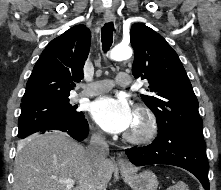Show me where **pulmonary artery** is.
Wrapping results in <instances>:
<instances>
[{
    "mask_svg": "<svg viewBox=\"0 0 221 190\" xmlns=\"http://www.w3.org/2000/svg\"><path fill=\"white\" fill-rule=\"evenodd\" d=\"M116 83L120 86H128L131 84V77L127 72L117 74ZM113 82L109 79L96 81L87 85L80 93L79 97L95 96L109 91L113 87Z\"/></svg>",
    "mask_w": 221,
    "mask_h": 190,
    "instance_id": "pulmonary-artery-1",
    "label": "pulmonary artery"
}]
</instances>
